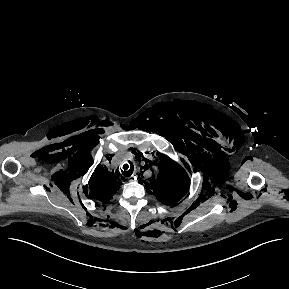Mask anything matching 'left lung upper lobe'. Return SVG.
Instances as JSON below:
<instances>
[{
	"label": "left lung upper lobe",
	"mask_w": 289,
	"mask_h": 289,
	"mask_svg": "<svg viewBox=\"0 0 289 289\" xmlns=\"http://www.w3.org/2000/svg\"><path fill=\"white\" fill-rule=\"evenodd\" d=\"M157 179L151 181V189L156 198L165 205H172L181 199L188 190L189 177L186 171L167 157H160Z\"/></svg>",
	"instance_id": "1"
}]
</instances>
